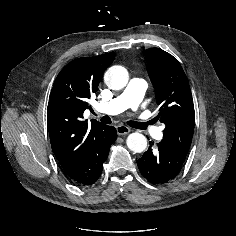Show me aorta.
<instances>
[{"mask_svg":"<svg viewBox=\"0 0 236 236\" xmlns=\"http://www.w3.org/2000/svg\"><path fill=\"white\" fill-rule=\"evenodd\" d=\"M128 79V71L122 66H113L104 75L106 85L113 90L124 88L128 83ZM126 144L131 151L141 153L147 148V139L143 134L134 132L128 135Z\"/></svg>","mask_w":236,"mask_h":236,"instance_id":"1","label":"aorta"}]
</instances>
